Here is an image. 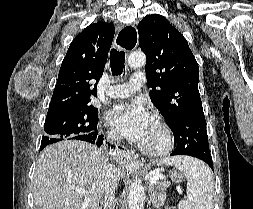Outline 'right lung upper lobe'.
Returning <instances> with one entry per match:
<instances>
[{"mask_svg": "<svg viewBox=\"0 0 253 209\" xmlns=\"http://www.w3.org/2000/svg\"><path fill=\"white\" fill-rule=\"evenodd\" d=\"M114 33L112 24L98 22L74 38L61 64L47 115L62 109L92 106L90 96H96L97 91V83L92 81L103 74Z\"/></svg>", "mask_w": 253, "mask_h": 209, "instance_id": "cb5924a9", "label": "right lung upper lobe"}]
</instances>
